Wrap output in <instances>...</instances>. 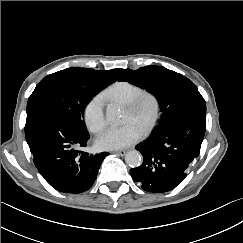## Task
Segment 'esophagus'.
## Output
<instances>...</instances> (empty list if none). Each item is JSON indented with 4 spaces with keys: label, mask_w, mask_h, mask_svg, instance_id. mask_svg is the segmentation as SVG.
Here are the masks:
<instances>
[{
    "label": "esophagus",
    "mask_w": 243,
    "mask_h": 243,
    "mask_svg": "<svg viewBox=\"0 0 243 243\" xmlns=\"http://www.w3.org/2000/svg\"><path fill=\"white\" fill-rule=\"evenodd\" d=\"M127 150H118L115 151L116 154L120 155V156H125L127 154Z\"/></svg>",
    "instance_id": "obj_1"
}]
</instances>
